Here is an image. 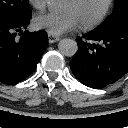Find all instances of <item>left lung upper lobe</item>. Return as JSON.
I'll return each mask as SVG.
<instances>
[{
  "mask_svg": "<svg viewBox=\"0 0 128 128\" xmlns=\"http://www.w3.org/2000/svg\"><path fill=\"white\" fill-rule=\"evenodd\" d=\"M124 23H128V0H115L113 13L96 30L103 31Z\"/></svg>",
  "mask_w": 128,
  "mask_h": 128,
  "instance_id": "left-lung-upper-lobe-1",
  "label": "left lung upper lobe"
}]
</instances>
